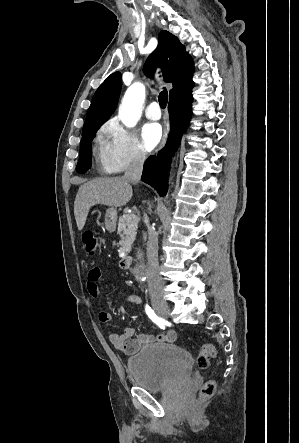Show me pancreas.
I'll list each match as a JSON object with an SVG mask.
<instances>
[{
    "instance_id": "cf45deb5",
    "label": "pancreas",
    "mask_w": 299,
    "mask_h": 443,
    "mask_svg": "<svg viewBox=\"0 0 299 443\" xmlns=\"http://www.w3.org/2000/svg\"><path fill=\"white\" fill-rule=\"evenodd\" d=\"M129 214H123L119 218L118 234L121 237L120 240V252L128 253L131 249V245L136 238V230L138 228L139 218L129 220Z\"/></svg>"
}]
</instances>
